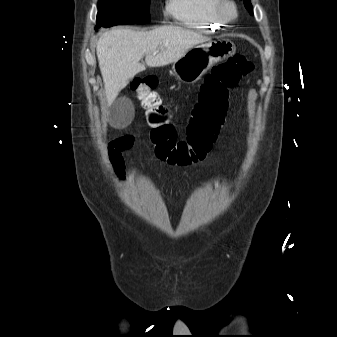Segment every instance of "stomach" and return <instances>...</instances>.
<instances>
[{
  "mask_svg": "<svg viewBox=\"0 0 337 337\" xmlns=\"http://www.w3.org/2000/svg\"><path fill=\"white\" fill-rule=\"evenodd\" d=\"M235 51V45L228 39L220 38L200 43L190 48L173 63L175 76L185 83H195L215 63L226 59Z\"/></svg>",
  "mask_w": 337,
  "mask_h": 337,
  "instance_id": "stomach-1",
  "label": "stomach"
}]
</instances>
